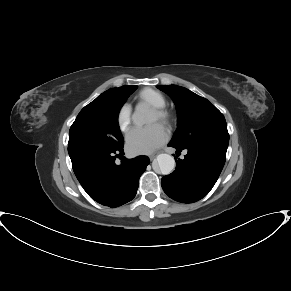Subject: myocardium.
Wrapping results in <instances>:
<instances>
[{"label":"myocardium","mask_w":291,"mask_h":291,"mask_svg":"<svg viewBox=\"0 0 291 291\" xmlns=\"http://www.w3.org/2000/svg\"><path fill=\"white\" fill-rule=\"evenodd\" d=\"M152 111L157 115L158 121L163 125H169L172 121V115L165 108L153 107Z\"/></svg>","instance_id":"1"}]
</instances>
